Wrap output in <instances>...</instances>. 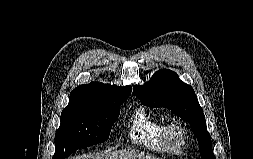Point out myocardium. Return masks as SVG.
Listing matches in <instances>:
<instances>
[{
	"label": "myocardium",
	"mask_w": 253,
	"mask_h": 159,
	"mask_svg": "<svg viewBox=\"0 0 253 159\" xmlns=\"http://www.w3.org/2000/svg\"><path fill=\"white\" fill-rule=\"evenodd\" d=\"M177 136L180 139V146L172 144V138ZM187 143L186 132L181 124L176 122L167 123L163 130V145L169 152L179 155L185 149Z\"/></svg>",
	"instance_id": "f54148a6"
}]
</instances>
